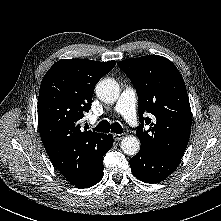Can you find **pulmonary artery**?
I'll return each instance as SVG.
<instances>
[{"label": "pulmonary artery", "instance_id": "1", "mask_svg": "<svg viewBox=\"0 0 221 221\" xmlns=\"http://www.w3.org/2000/svg\"><path fill=\"white\" fill-rule=\"evenodd\" d=\"M136 94L133 89L126 88L120 95L114 106L115 112L120 114L124 120L131 126L138 123L136 114Z\"/></svg>", "mask_w": 221, "mask_h": 221}]
</instances>
